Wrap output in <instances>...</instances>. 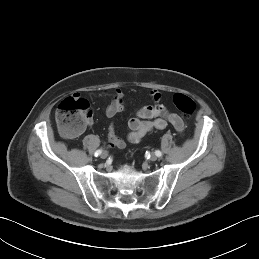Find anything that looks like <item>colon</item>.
Returning <instances> with one entry per match:
<instances>
[{
  "mask_svg": "<svg viewBox=\"0 0 259 259\" xmlns=\"http://www.w3.org/2000/svg\"><path fill=\"white\" fill-rule=\"evenodd\" d=\"M173 104L184 116H191L195 109V102L187 95L176 93ZM92 116L89 104L82 98L70 96L62 100L56 110V123L59 130L68 138L78 136L88 125Z\"/></svg>",
  "mask_w": 259,
  "mask_h": 259,
  "instance_id": "5ec220e1",
  "label": "colon"
}]
</instances>
